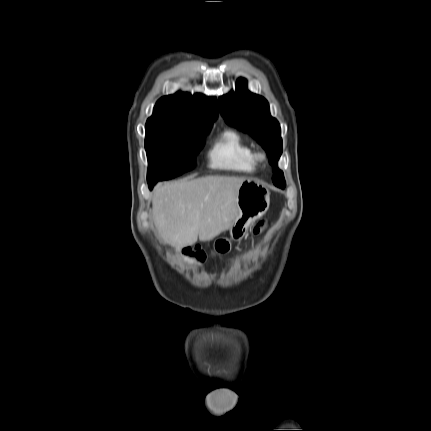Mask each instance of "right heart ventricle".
Here are the masks:
<instances>
[{
    "label": "right heart ventricle",
    "mask_w": 431,
    "mask_h": 431,
    "mask_svg": "<svg viewBox=\"0 0 431 431\" xmlns=\"http://www.w3.org/2000/svg\"><path fill=\"white\" fill-rule=\"evenodd\" d=\"M210 166L240 173H254L258 168L255 151L243 135L224 131L209 151Z\"/></svg>",
    "instance_id": "right-heart-ventricle-1"
}]
</instances>
